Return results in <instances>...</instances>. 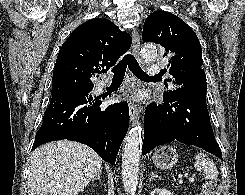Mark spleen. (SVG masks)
<instances>
[{
    "instance_id": "3e777b00",
    "label": "spleen",
    "mask_w": 245,
    "mask_h": 195,
    "mask_svg": "<svg viewBox=\"0 0 245 195\" xmlns=\"http://www.w3.org/2000/svg\"><path fill=\"white\" fill-rule=\"evenodd\" d=\"M194 167L199 172L203 173V176L210 181H216L218 179V169L214 162L208 158L205 154L199 153L196 156Z\"/></svg>"
}]
</instances>
